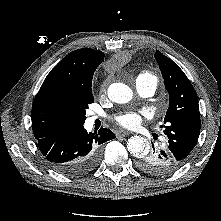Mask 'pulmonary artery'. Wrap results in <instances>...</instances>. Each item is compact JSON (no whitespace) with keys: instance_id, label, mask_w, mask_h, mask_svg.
<instances>
[{"instance_id":"obj_1","label":"pulmonary artery","mask_w":221,"mask_h":221,"mask_svg":"<svg viewBox=\"0 0 221 221\" xmlns=\"http://www.w3.org/2000/svg\"><path fill=\"white\" fill-rule=\"evenodd\" d=\"M157 88V81L153 79L140 78L136 80V90L142 97L152 96ZM97 116H91L89 121L92 123Z\"/></svg>"}]
</instances>
